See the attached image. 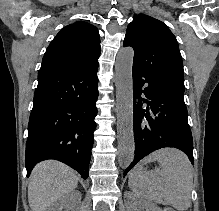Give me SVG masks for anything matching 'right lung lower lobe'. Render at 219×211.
I'll use <instances>...</instances> for the list:
<instances>
[{"label": "right lung lower lobe", "instance_id": "right-lung-lower-lobe-1", "mask_svg": "<svg viewBox=\"0 0 219 211\" xmlns=\"http://www.w3.org/2000/svg\"><path fill=\"white\" fill-rule=\"evenodd\" d=\"M98 66L39 70L28 124L27 176L38 162L56 159L88 178Z\"/></svg>", "mask_w": 219, "mask_h": 211}]
</instances>
